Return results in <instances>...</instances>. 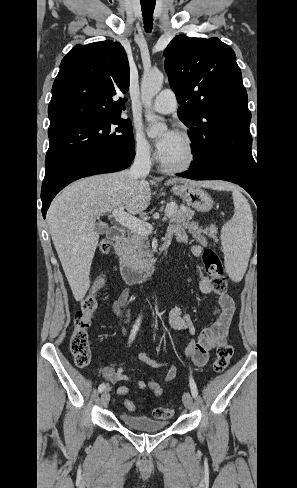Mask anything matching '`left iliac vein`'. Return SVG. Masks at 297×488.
<instances>
[{
  "label": "left iliac vein",
  "instance_id": "left-iliac-vein-1",
  "mask_svg": "<svg viewBox=\"0 0 297 488\" xmlns=\"http://www.w3.org/2000/svg\"><path fill=\"white\" fill-rule=\"evenodd\" d=\"M183 404L186 408L191 409L193 407V399L189 392L183 394Z\"/></svg>",
  "mask_w": 297,
  "mask_h": 488
}]
</instances>
